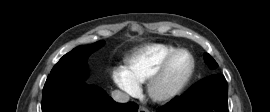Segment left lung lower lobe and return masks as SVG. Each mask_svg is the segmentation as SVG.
<instances>
[{
    "label": "left lung lower lobe",
    "mask_w": 270,
    "mask_h": 112,
    "mask_svg": "<svg viewBox=\"0 0 270 112\" xmlns=\"http://www.w3.org/2000/svg\"><path fill=\"white\" fill-rule=\"evenodd\" d=\"M159 112H228L227 81L221 74L204 78Z\"/></svg>",
    "instance_id": "1"
}]
</instances>
